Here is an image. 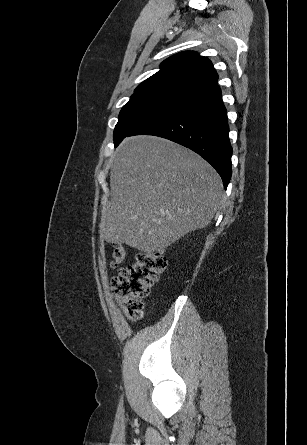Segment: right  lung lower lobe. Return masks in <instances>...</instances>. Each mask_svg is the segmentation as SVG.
Here are the masks:
<instances>
[{"instance_id": "obj_1", "label": "right lung lower lobe", "mask_w": 307, "mask_h": 445, "mask_svg": "<svg viewBox=\"0 0 307 445\" xmlns=\"http://www.w3.org/2000/svg\"><path fill=\"white\" fill-rule=\"evenodd\" d=\"M228 133L227 112L220 87L216 85L126 136L155 135L190 148L216 169L226 189L232 174ZM120 142L115 143V147Z\"/></svg>"}]
</instances>
